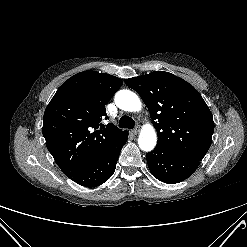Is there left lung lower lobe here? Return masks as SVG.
<instances>
[{"instance_id":"1","label":"left lung lower lobe","mask_w":247,"mask_h":247,"mask_svg":"<svg viewBox=\"0 0 247 247\" xmlns=\"http://www.w3.org/2000/svg\"><path fill=\"white\" fill-rule=\"evenodd\" d=\"M151 173L160 181L168 184L179 183L194 173L200 160L186 157L160 146L146 155Z\"/></svg>"}]
</instances>
